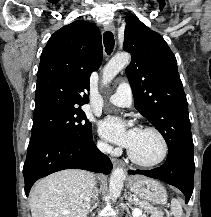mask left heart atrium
<instances>
[{
    "instance_id": "left-heart-atrium-1",
    "label": "left heart atrium",
    "mask_w": 211,
    "mask_h": 217,
    "mask_svg": "<svg viewBox=\"0 0 211 217\" xmlns=\"http://www.w3.org/2000/svg\"><path fill=\"white\" fill-rule=\"evenodd\" d=\"M138 128H127L125 122L116 117H108L100 122L99 132L107 140L131 148L139 133Z\"/></svg>"
}]
</instances>
